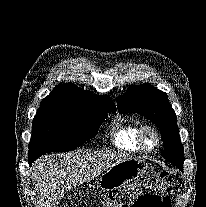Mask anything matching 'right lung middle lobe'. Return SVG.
<instances>
[{
  "label": "right lung middle lobe",
  "mask_w": 206,
  "mask_h": 207,
  "mask_svg": "<svg viewBox=\"0 0 206 207\" xmlns=\"http://www.w3.org/2000/svg\"><path fill=\"white\" fill-rule=\"evenodd\" d=\"M114 108L85 110L79 108L40 105L33 120L29 156L70 151L95 136L100 123Z\"/></svg>",
  "instance_id": "1"
}]
</instances>
